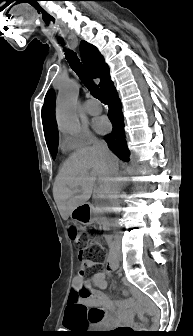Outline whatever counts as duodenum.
<instances>
[{
  "label": "duodenum",
  "mask_w": 193,
  "mask_h": 336,
  "mask_svg": "<svg viewBox=\"0 0 193 336\" xmlns=\"http://www.w3.org/2000/svg\"><path fill=\"white\" fill-rule=\"evenodd\" d=\"M109 239L111 240V238L109 237ZM109 266L111 268H116V262H115V253H114V249L110 248V253H109ZM138 303H141L140 299H137Z\"/></svg>",
  "instance_id": "duodenum-1"
}]
</instances>
